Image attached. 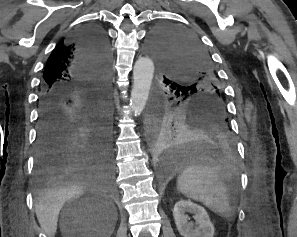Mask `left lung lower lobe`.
Listing matches in <instances>:
<instances>
[{
    "label": "left lung lower lobe",
    "instance_id": "left-lung-lower-lobe-1",
    "mask_svg": "<svg viewBox=\"0 0 297 237\" xmlns=\"http://www.w3.org/2000/svg\"><path fill=\"white\" fill-rule=\"evenodd\" d=\"M175 107L181 116L180 127L174 134H160L155 145V156L163 168H178L195 161L211 162L233 154L232 130L227 115L218 106L179 100Z\"/></svg>",
    "mask_w": 297,
    "mask_h": 237
}]
</instances>
